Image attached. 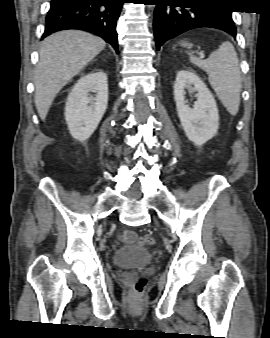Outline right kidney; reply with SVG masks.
<instances>
[{
  "label": "right kidney",
  "mask_w": 270,
  "mask_h": 338,
  "mask_svg": "<svg viewBox=\"0 0 270 338\" xmlns=\"http://www.w3.org/2000/svg\"><path fill=\"white\" fill-rule=\"evenodd\" d=\"M96 93V96H90ZM108 103L107 75L103 71L80 78L73 86L65 107V119L72 137L86 141L96 130Z\"/></svg>",
  "instance_id": "ca27d5eb"
}]
</instances>
